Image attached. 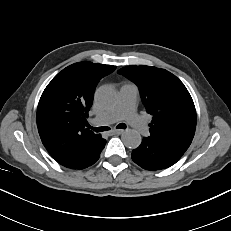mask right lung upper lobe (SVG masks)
I'll use <instances>...</instances> for the list:
<instances>
[{
    "label": "right lung upper lobe",
    "instance_id": "cb5924a9",
    "mask_svg": "<svg viewBox=\"0 0 231 231\" xmlns=\"http://www.w3.org/2000/svg\"><path fill=\"white\" fill-rule=\"evenodd\" d=\"M116 66L83 61L59 72L47 85L37 109V126L43 145L63 162L101 135L85 128L95 88Z\"/></svg>",
    "mask_w": 231,
    "mask_h": 231
}]
</instances>
